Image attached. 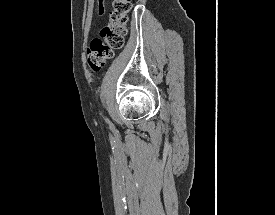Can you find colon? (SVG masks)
<instances>
[{"label":"colon","mask_w":275,"mask_h":215,"mask_svg":"<svg viewBox=\"0 0 275 215\" xmlns=\"http://www.w3.org/2000/svg\"><path fill=\"white\" fill-rule=\"evenodd\" d=\"M130 9V0H113L109 23L101 29L99 36L93 38L87 47L86 60L92 71L102 70L107 61L114 57L116 51L122 48Z\"/></svg>","instance_id":"obj_1"}]
</instances>
